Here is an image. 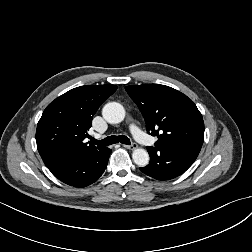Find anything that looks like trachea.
Listing matches in <instances>:
<instances>
[{"label":"trachea","instance_id":"trachea-1","mask_svg":"<svg viewBox=\"0 0 252 252\" xmlns=\"http://www.w3.org/2000/svg\"><path fill=\"white\" fill-rule=\"evenodd\" d=\"M93 142L96 144L106 145V146L119 143V142L126 145L131 144L129 138L125 135L109 136L99 141L94 139Z\"/></svg>","mask_w":252,"mask_h":252}]
</instances>
